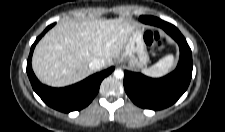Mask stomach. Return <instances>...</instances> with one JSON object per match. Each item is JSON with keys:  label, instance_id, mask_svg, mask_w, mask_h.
Listing matches in <instances>:
<instances>
[{"label": "stomach", "instance_id": "1", "mask_svg": "<svg viewBox=\"0 0 225 132\" xmlns=\"http://www.w3.org/2000/svg\"><path fill=\"white\" fill-rule=\"evenodd\" d=\"M118 62L132 70H143L147 66L149 56L146 50L143 30L136 29L129 36L126 46L118 58Z\"/></svg>", "mask_w": 225, "mask_h": 132}]
</instances>
